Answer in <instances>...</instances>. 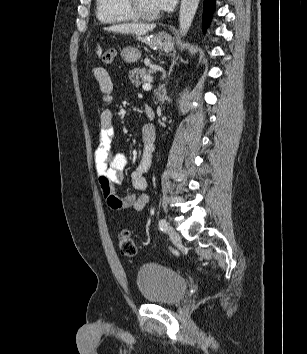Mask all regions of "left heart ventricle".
<instances>
[{"label": "left heart ventricle", "mask_w": 307, "mask_h": 354, "mask_svg": "<svg viewBox=\"0 0 307 354\" xmlns=\"http://www.w3.org/2000/svg\"><path fill=\"white\" fill-rule=\"evenodd\" d=\"M140 8L147 13H156L157 9L154 0H137Z\"/></svg>", "instance_id": "obj_1"}]
</instances>
